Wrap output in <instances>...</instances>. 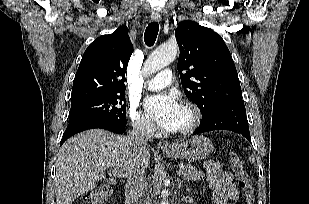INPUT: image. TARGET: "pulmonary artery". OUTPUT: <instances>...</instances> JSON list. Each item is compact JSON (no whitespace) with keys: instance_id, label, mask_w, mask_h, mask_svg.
Masks as SVG:
<instances>
[{"instance_id":"1","label":"pulmonary artery","mask_w":309,"mask_h":204,"mask_svg":"<svg viewBox=\"0 0 309 204\" xmlns=\"http://www.w3.org/2000/svg\"><path fill=\"white\" fill-rule=\"evenodd\" d=\"M172 78V71L164 70L159 75L147 80L144 87L149 90H159L171 84Z\"/></svg>"}]
</instances>
